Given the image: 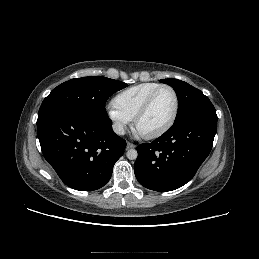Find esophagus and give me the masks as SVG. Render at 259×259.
I'll use <instances>...</instances> for the list:
<instances>
[{
	"mask_svg": "<svg viewBox=\"0 0 259 259\" xmlns=\"http://www.w3.org/2000/svg\"><path fill=\"white\" fill-rule=\"evenodd\" d=\"M134 147H135L134 144H132V143H130V142H127V144H126V149H131V148H134Z\"/></svg>",
	"mask_w": 259,
	"mask_h": 259,
	"instance_id": "esophagus-1",
	"label": "esophagus"
}]
</instances>
